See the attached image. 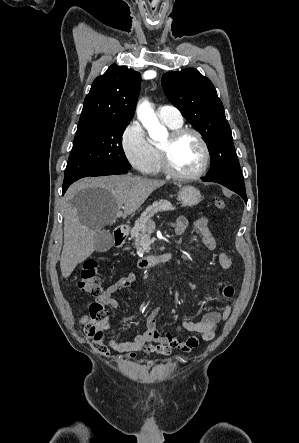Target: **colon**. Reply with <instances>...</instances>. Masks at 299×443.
<instances>
[{
    "label": "colon",
    "instance_id": "1",
    "mask_svg": "<svg viewBox=\"0 0 299 443\" xmlns=\"http://www.w3.org/2000/svg\"><path fill=\"white\" fill-rule=\"evenodd\" d=\"M215 208L223 211L227 204L223 199H216ZM79 289L89 295H98L102 291V280L97 272V263L93 260L83 264L78 281ZM108 311L98 302H92L88 307V316L85 323L87 335L93 340L97 349L105 353V331L108 328Z\"/></svg>",
    "mask_w": 299,
    "mask_h": 443
}]
</instances>
